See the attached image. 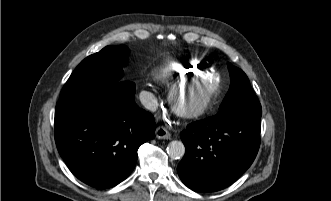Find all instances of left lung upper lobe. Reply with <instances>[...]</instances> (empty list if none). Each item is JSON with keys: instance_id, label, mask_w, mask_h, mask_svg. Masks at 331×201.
<instances>
[{"instance_id": "5c2ea615", "label": "left lung upper lobe", "mask_w": 331, "mask_h": 201, "mask_svg": "<svg viewBox=\"0 0 331 201\" xmlns=\"http://www.w3.org/2000/svg\"><path fill=\"white\" fill-rule=\"evenodd\" d=\"M228 69L231 84L227 95L220 105V110L259 103L246 74L231 63H228Z\"/></svg>"}]
</instances>
